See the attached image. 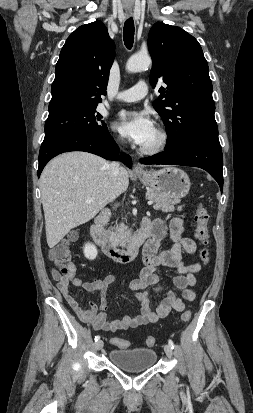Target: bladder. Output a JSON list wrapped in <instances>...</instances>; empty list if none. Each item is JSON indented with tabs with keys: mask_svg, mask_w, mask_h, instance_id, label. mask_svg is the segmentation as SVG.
<instances>
[{
	"mask_svg": "<svg viewBox=\"0 0 253 413\" xmlns=\"http://www.w3.org/2000/svg\"><path fill=\"white\" fill-rule=\"evenodd\" d=\"M110 362L127 372H140L154 366L157 353L152 348H116L109 353Z\"/></svg>",
	"mask_w": 253,
	"mask_h": 413,
	"instance_id": "bladder-1",
	"label": "bladder"
}]
</instances>
